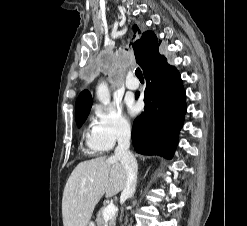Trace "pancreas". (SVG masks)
<instances>
[{
  "label": "pancreas",
  "instance_id": "pancreas-1",
  "mask_svg": "<svg viewBox=\"0 0 247 226\" xmlns=\"http://www.w3.org/2000/svg\"><path fill=\"white\" fill-rule=\"evenodd\" d=\"M105 210V207H102L96 216V223L97 226H104L105 220L103 218V212ZM107 226H116V215H114L112 218L108 220V225Z\"/></svg>",
  "mask_w": 247,
  "mask_h": 226
}]
</instances>
